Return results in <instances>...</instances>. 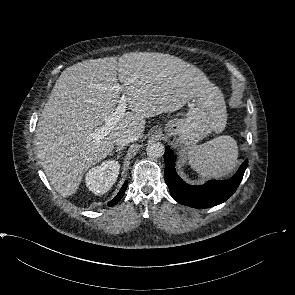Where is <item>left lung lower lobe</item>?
Returning <instances> with one entry per match:
<instances>
[{
    "label": "left lung lower lobe",
    "mask_w": 295,
    "mask_h": 295,
    "mask_svg": "<svg viewBox=\"0 0 295 295\" xmlns=\"http://www.w3.org/2000/svg\"><path fill=\"white\" fill-rule=\"evenodd\" d=\"M165 181L171 196L179 203L194 208H208L225 202L239 186L248 160H245L237 173L229 180L208 181L201 186H191L182 181L175 171L176 156L169 148L165 149Z\"/></svg>",
    "instance_id": "obj_1"
}]
</instances>
